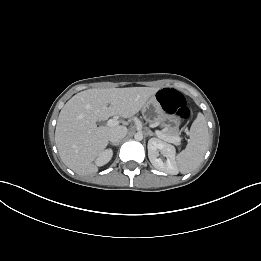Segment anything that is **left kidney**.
I'll return each mask as SVG.
<instances>
[{
  "instance_id": "5707ae66",
  "label": "left kidney",
  "mask_w": 261,
  "mask_h": 261,
  "mask_svg": "<svg viewBox=\"0 0 261 261\" xmlns=\"http://www.w3.org/2000/svg\"><path fill=\"white\" fill-rule=\"evenodd\" d=\"M161 152L164 157H166V162H163L158 158V152ZM175 148L163 142L157 138H151L148 141V157L152 165L165 173L175 175L178 173V169L175 161Z\"/></svg>"
}]
</instances>
